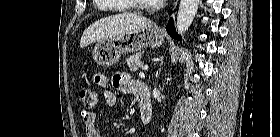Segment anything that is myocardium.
<instances>
[{"label": "myocardium", "instance_id": "1", "mask_svg": "<svg viewBox=\"0 0 280 137\" xmlns=\"http://www.w3.org/2000/svg\"><path fill=\"white\" fill-rule=\"evenodd\" d=\"M130 1L133 3L135 8L142 10V11H154L157 7V5L141 3L140 0H130Z\"/></svg>", "mask_w": 280, "mask_h": 137}]
</instances>
